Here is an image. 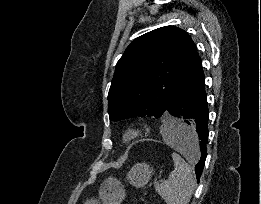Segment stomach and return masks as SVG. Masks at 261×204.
<instances>
[{
    "instance_id": "stomach-1",
    "label": "stomach",
    "mask_w": 261,
    "mask_h": 204,
    "mask_svg": "<svg viewBox=\"0 0 261 204\" xmlns=\"http://www.w3.org/2000/svg\"><path fill=\"white\" fill-rule=\"evenodd\" d=\"M152 170L145 162L137 163L128 171L126 179L128 182L139 188L145 186L150 180ZM125 198L124 185L115 177L104 179L99 188V199L103 204H120ZM84 204H98L96 199H87Z\"/></svg>"
}]
</instances>
